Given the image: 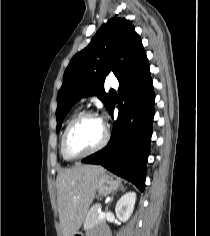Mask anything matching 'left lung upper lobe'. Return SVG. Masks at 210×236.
<instances>
[{"instance_id":"5c2ea615","label":"left lung upper lobe","mask_w":210,"mask_h":236,"mask_svg":"<svg viewBox=\"0 0 210 236\" xmlns=\"http://www.w3.org/2000/svg\"><path fill=\"white\" fill-rule=\"evenodd\" d=\"M146 61V52L134 26L126 19H110L65 70L57 95V132L65 115L81 97L97 95L109 110L112 100L104 91L106 75L113 72L122 82Z\"/></svg>"}]
</instances>
